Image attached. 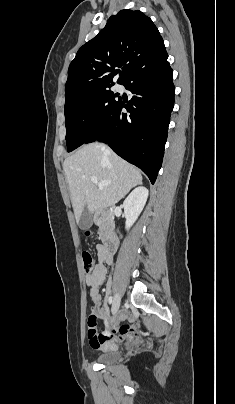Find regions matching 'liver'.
I'll list each match as a JSON object with an SVG mask.
<instances>
[{"mask_svg": "<svg viewBox=\"0 0 235 404\" xmlns=\"http://www.w3.org/2000/svg\"><path fill=\"white\" fill-rule=\"evenodd\" d=\"M75 218L79 221L87 206L90 214L115 205L135 186L142 183L140 171L104 144L83 145L63 163ZM109 182L99 188L91 181Z\"/></svg>", "mask_w": 235, "mask_h": 404, "instance_id": "6515ba94", "label": "liver"}]
</instances>
